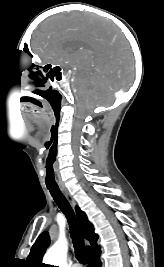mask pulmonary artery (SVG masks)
I'll return each instance as SVG.
<instances>
[{
    "instance_id": "1",
    "label": "pulmonary artery",
    "mask_w": 164,
    "mask_h": 267,
    "mask_svg": "<svg viewBox=\"0 0 164 267\" xmlns=\"http://www.w3.org/2000/svg\"><path fill=\"white\" fill-rule=\"evenodd\" d=\"M72 267H80V265L76 263V264H73Z\"/></svg>"
}]
</instances>
